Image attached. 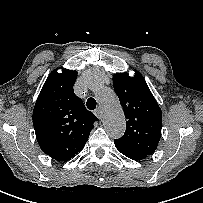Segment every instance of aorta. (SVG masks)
<instances>
[{
	"label": "aorta",
	"instance_id": "1",
	"mask_svg": "<svg viewBox=\"0 0 203 203\" xmlns=\"http://www.w3.org/2000/svg\"><path fill=\"white\" fill-rule=\"evenodd\" d=\"M89 87L94 91L98 100L106 132L113 138H120L125 132L126 120L114 91L96 79L89 81Z\"/></svg>",
	"mask_w": 203,
	"mask_h": 203
}]
</instances>
